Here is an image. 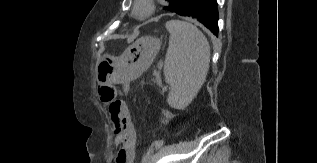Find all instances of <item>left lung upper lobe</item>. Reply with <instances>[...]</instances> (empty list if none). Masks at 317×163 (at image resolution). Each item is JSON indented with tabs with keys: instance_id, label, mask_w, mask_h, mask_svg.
<instances>
[{
	"instance_id": "obj_1",
	"label": "left lung upper lobe",
	"mask_w": 317,
	"mask_h": 163,
	"mask_svg": "<svg viewBox=\"0 0 317 163\" xmlns=\"http://www.w3.org/2000/svg\"><path fill=\"white\" fill-rule=\"evenodd\" d=\"M169 5L164 7L166 11L174 12L182 0H167Z\"/></svg>"
}]
</instances>
